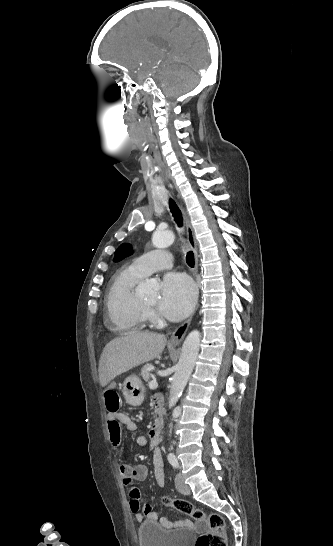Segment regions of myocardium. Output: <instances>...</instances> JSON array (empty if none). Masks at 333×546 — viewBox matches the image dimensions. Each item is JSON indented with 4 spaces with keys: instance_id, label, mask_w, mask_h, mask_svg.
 <instances>
[{
    "instance_id": "obj_1",
    "label": "myocardium",
    "mask_w": 333,
    "mask_h": 546,
    "mask_svg": "<svg viewBox=\"0 0 333 546\" xmlns=\"http://www.w3.org/2000/svg\"><path fill=\"white\" fill-rule=\"evenodd\" d=\"M143 305L145 308H148L149 306L143 302Z\"/></svg>"
}]
</instances>
